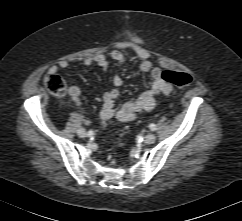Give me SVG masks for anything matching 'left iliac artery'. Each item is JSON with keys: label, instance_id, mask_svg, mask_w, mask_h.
I'll return each instance as SVG.
<instances>
[{"label": "left iliac artery", "instance_id": "44dca946", "mask_svg": "<svg viewBox=\"0 0 242 221\" xmlns=\"http://www.w3.org/2000/svg\"><path fill=\"white\" fill-rule=\"evenodd\" d=\"M149 128H150L152 131H155V130L157 129L155 124H150V125H149Z\"/></svg>", "mask_w": 242, "mask_h": 221}]
</instances>
